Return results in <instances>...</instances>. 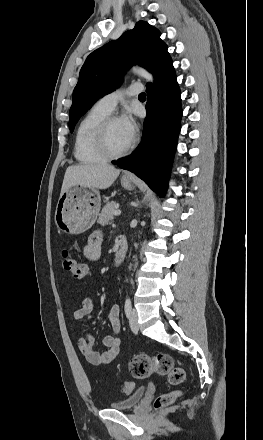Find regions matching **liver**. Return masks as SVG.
Instances as JSON below:
<instances>
[{
	"label": "liver",
	"instance_id": "6515ba94",
	"mask_svg": "<svg viewBox=\"0 0 263 440\" xmlns=\"http://www.w3.org/2000/svg\"><path fill=\"white\" fill-rule=\"evenodd\" d=\"M120 174V170L108 163L72 165L66 169L61 193L72 186L89 189H107Z\"/></svg>",
	"mask_w": 263,
	"mask_h": 440
}]
</instances>
